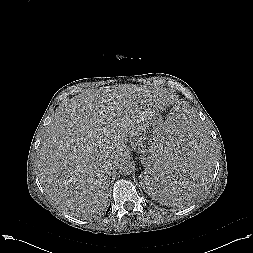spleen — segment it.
Returning <instances> with one entry per match:
<instances>
[{
    "label": "spleen",
    "instance_id": "spleen-1",
    "mask_svg": "<svg viewBox=\"0 0 253 253\" xmlns=\"http://www.w3.org/2000/svg\"><path fill=\"white\" fill-rule=\"evenodd\" d=\"M163 132L144 161L142 183L153 200L177 204L192 199L210 181V139L203 116L186 107L167 114Z\"/></svg>",
    "mask_w": 253,
    "mask_h": 253
}]
</instances>
